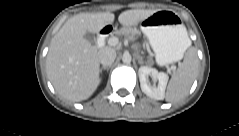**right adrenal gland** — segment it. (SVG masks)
Returning a JSON list of instances; mask_svg holds the SVG:
<instances>
[{
    "label": "right adrenal gland",
    "mask_w": 239,
    "mask_h": 136,
    "mask_svg": "<svg viewBox=\"0 0 239 136\" xmlns=\"http://www.w3.org/2000/svg\"><path fill=\"white\" fill-rule=\"evenodd\" d=\"M108 70L109 69V67L108 66H103V67H101V69H100V72H102V70Z\"/></svg>",
    "instance_id": "2a0ac1e0"
}]
</instances>
